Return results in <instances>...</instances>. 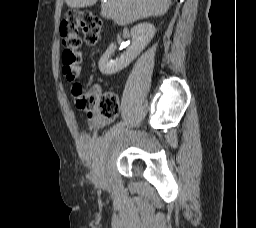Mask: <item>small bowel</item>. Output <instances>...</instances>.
I'll use <instances>...</instances> for the list:
<instances>
[{"instance_id": "c3829d8e", "label": "small bowel", "mask_w": 256, "mask_h": 228, "mask_svg": "<svg viewBox=\"0 0 256 228\" xmlns=\"http://www.w3.org/2000/svg\"><path fill=\"white\" fill-rule=\"evenodd\" d=\"M92 91L95 94H100L101 93V86L100 85H94L92 87ZM112 119H106V118H101V117H95L89 121V125L92 129L94 130H99L103 128L104 126L108 125Z\"/></svg>"}]
</instances>
